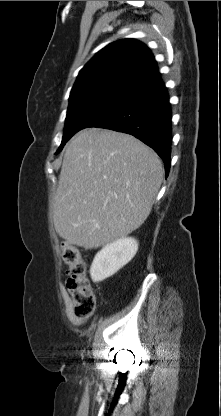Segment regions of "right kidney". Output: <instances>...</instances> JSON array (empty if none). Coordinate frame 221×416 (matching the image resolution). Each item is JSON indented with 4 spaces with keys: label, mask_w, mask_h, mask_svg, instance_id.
Returning <instances> with one entry per match:
<instances>
[{
    "label": "right kidney",
    "mask_w": 221,
    "mask_h": 416,
    "mask_svg": "<svg viewBox=\"0 0 221 416\" xmlns=\"http://www.w3.org/2000/svg\"><path fill=\"white\" fill-rule=\"evenodd\" d=\"M138 242L131 237L120 238L103 247L95 256L90 276L93 282H100L114 275L136 254Z\"/></svg>",
    "instance_id": "obj_1"
}]
</instances>
